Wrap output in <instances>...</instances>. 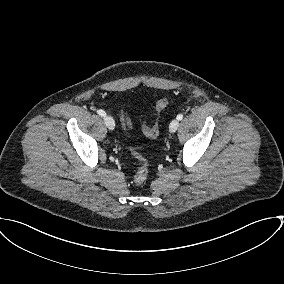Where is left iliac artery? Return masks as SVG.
Here are the masks:
<instances>
[{"instance_id": "left-iliac-artery-1", "label": "left iliac artery", "mask_w": 284, "mask_h": 284, "mask_svg": "<svg viewBox=\"0 0 284 284\" xmlns=\"http://www.w3.org/2000/svg\"><path fill=\"white\" fill-rule=\"evenodd\" d=\"M177 119H178V120H182V119H183V114H178V115H177Z\"/></svg>"}]
</instances>
